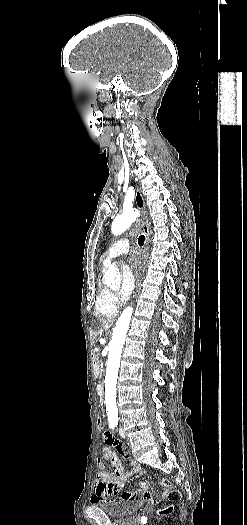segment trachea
Wrapping results in <instances>:
<instances>
[{"label":"trachea","instance_id":"1","mask_svg":"<svg viewBox=\"0 0 247 525\" xmlns=\"http://www.w3.org/2000/svg\"><path fill=\"white\" fill-rule=\"evenodd\" d=\"M144 243H145V236H144V235H140V236L138 237V245H139L140 247H142V246L144 245Z\"/></svg>","mask_w":247,"mask_h":525}]
</instances>
